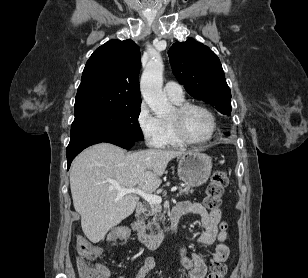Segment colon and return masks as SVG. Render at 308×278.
<instances>
[{"instance_id":"5ec220e1","label":"colon","mask_w":308,"mask_h":278,"mask_svg":"<svg viewBox=\"0 0 308 278\" xmlns=\"http://www.w3.org/2000/svg\"><path fill=\"white\" fill-rule=\"evenodd\" d=\"M230 182V176L226 170H216L206 190L204 200L205 206L211 211L219 208L221 197L225 188ZM130 226H113L112 233L106 237L110 245L114 242H125L126 237H130ZM76 251L80 258L79 274L81 278H97L98 266L96 263L100 256V248L91 243L84 236H78L76 243ZM93 264V265H92ZM226 265L223 262H213L207 278H224L226 274Z\"/></svg>"}]
</instances>
